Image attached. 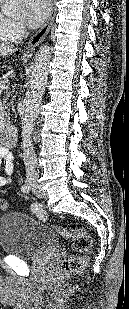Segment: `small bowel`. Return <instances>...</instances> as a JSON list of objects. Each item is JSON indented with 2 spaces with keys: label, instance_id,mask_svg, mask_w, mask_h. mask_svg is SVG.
Returning <instances> with one entry per match:
<instances>
[{
  "label": "small bowel",
  "instance_id": "c3829d8e",
  "mask_svg": "<svg viewBox=\"0 0 129 309\" xmlns=\"http://www.w3.org/2000/svg\"><path fill=\"white\" fill-rule=\"evenodd\" d=\"M13 154L11 151L0 146V187L7 186L12 182L14 173Z\"/></svg>",
  "mask_w": 129,
  "mask_h": 309
}]
</instances>
